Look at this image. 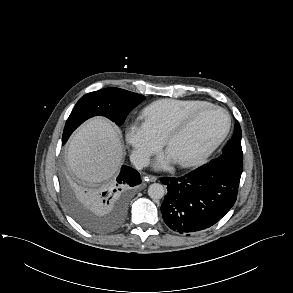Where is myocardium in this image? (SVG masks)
I'll list each match as a JSON object with an SVG mask.
<instances>
[{
	"label": "myocardium",
	"instance_id": "f54148a6",
	"mask_svg": "<svg viewBox=\"0 0 293 293\" xmlns=\"http://www.w3.org/2000/svg\"><path fill=\"white\" fill-rule=\"evenodd\" d=\"M217 110L222 113H224L226 117V126L223 132L215 139L213 140L205 149H203L201 152L196 154L195 156L180 161L178 164L183 168H189L196 165L201 164L204 162L217 148L218 146L225 140V138L228 136L230 129H231V117L227 110L224 108L214 105V104H207L205 106H202L189 114H187L181 121L176 123L174 126L171 127V129L168 131V133L165 136V144L167 147L170 146V144L179 136H181L183 133H185L188 128L192 125L194 120L201 115L203 112L207 110Z\"/></svg>",
	"mask_w": 293,
	"mask_h": 293
}]
</instances>
